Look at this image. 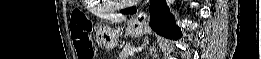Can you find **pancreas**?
<instances>
[{"label": "pancreas", "instance_id": "1", "mask_svg": "<svg viewBox=\"0 0 261 59\" xmlns=\"http://www.w3.org/2000/svg\"><path fill=\"white\" fill-rule=\"evenodd\" d=\"M133 47L130 44H126L119 54L120 59H128L129 51H132Z\"/></svg>", "mask_w": 261, "mask_h": 59}]
</instances>
